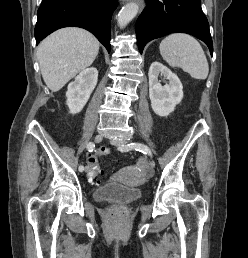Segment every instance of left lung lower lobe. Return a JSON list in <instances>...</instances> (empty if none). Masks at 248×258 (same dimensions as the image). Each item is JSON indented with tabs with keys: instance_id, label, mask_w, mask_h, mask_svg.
<instances>
[{
	"instance_id": "left-lung-lower-lobe-1",
	"label": "left lung lower lobe",
	"mask_w": 248,
	"mask_h": 258,
	"mask_svg": "<svg viewBox=\"0 0 248 258\" xmlns=\"http://www.w3.org/2000/svg\"><path fill=\"white\" fill-rule=\"evenodd\" d=\"M140 53L149 41L170 33L183 32L202 40L213 53L209 24L201 0H146V7L136 22Z\"/></svg>"
}]
</instances>
